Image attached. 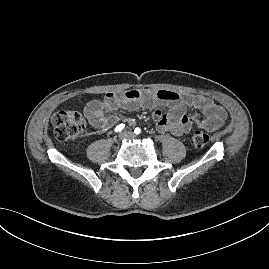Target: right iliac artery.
<instances>
[{
	"label": "right iliac artery",
	"instance_id": "right-iliac-artery-1",
	"mask_svg": "<svg viewBox=\"0 0 269 269\" xmlns=\"http://www.w3.org/2000/svg\"><path fill=\"white\" fill-rule=\"evenodd\" d=\"M125 125L124 124H120L118 126H116V128L114 129L115 133L120 132L124 129Z\"/></svg>",
	"mask_w": 269,
	"mask_h": 269
}]
</instances>
